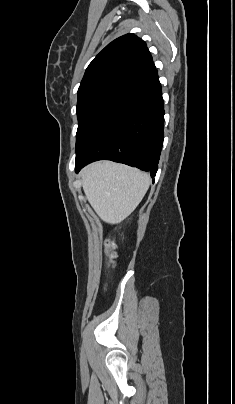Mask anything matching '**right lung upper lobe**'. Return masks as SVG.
I'll return each mask as SVG.
<instances>
[{
    "mask_svg": "<svg viewBox=\"0 0 235 404\" xmlns=\"http://www.w3.org/2000/svg\"><path fill=\"white\" fill-rule=\"evenodd\" d=\"M155 70L143 40L134 34L123 35L108 44L89 64L78 91L109 82L130 84Z\"/></svg>",
    "mask_w": 235,
    "mask_h": 404,
    "instance_id": "cb5924a9",
    "label": "right lung upper lobe"
}]
</instances>
